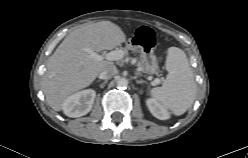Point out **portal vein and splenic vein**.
I'll return each mask as SVG.
<instances>
[{
    "label": "portal vein and splenic vein",
    "mask_w": 248,
    "mask_h": 158,
    "mask_svg": "<svg viewBox=\"0 0 248 158\" xmlns=\"http://www.w3.org/2000/svg\"><path fill=\"white\" fill-rule=\"evenodd\" d=\"M86 51L88 53H90L91 58H94L98 61H101L104 59L109 60V61H117V60L122 59L124 56V52L122 50H114V51H111V52H109L107 54H103V55H99V54L93 52L91 49H86ZM155 83L159 84L160 79L156 78Z\"/></svg>",
    "instance_id": "obj_1"
}]
</instances>
